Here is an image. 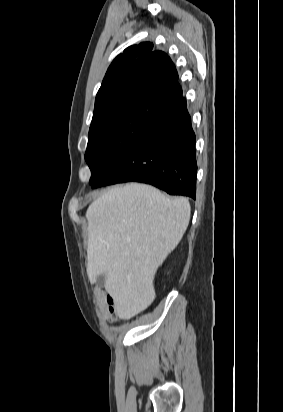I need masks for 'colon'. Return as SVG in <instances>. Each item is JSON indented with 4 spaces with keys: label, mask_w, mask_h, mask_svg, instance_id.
Returning <instances> with one entry per match:
<instances>
[{
    "label": "colon",
    "mask_w": 283,
    "mask_h": 412,
    "mask_svg": "<svg viewBox=\"0 0 283 412\" xmlns=\"http://www.w3.org/2000/svg\"><path fill=\"white\" fill-rule=\"evenodd\" d=\"M108 304V318L110 321L115 322L122 318L123 314L122 311L117 303V301L113 297H108L107 299Z\"/></svg>",
    "instance_id": "colon-1"
}]
</instances>
